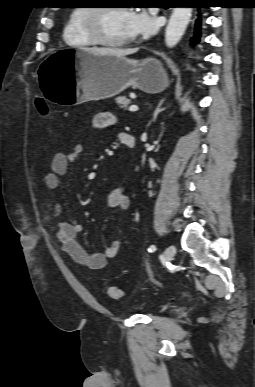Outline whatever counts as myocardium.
Listing matches in <instances>:
<instances>
[{"mask_svg":"<svg viewBox=\"0 0 255 387\" xmlns=\"http://www.w3.org/2000/svg\"><path fill=\"white\" fill-rule=\"evenodd\" d=\"M119 8L127 10L124 7L119 6H93L87 9L84 17V26L89 37L95 42V44L120 47L127 45L131 42V37L122 40H113L107 38L101 29V17L102 14L110 9Z\"/></svg>","mask_w":255,"mask_h":387,"instance_id":"1","label":"myocardium"}]
</instances>
